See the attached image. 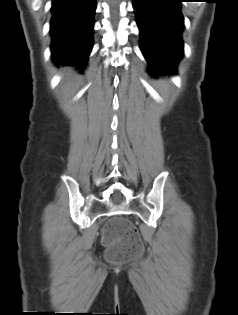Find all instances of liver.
<instances>
[{
	"label": "liver",
	"mask_w": 238,
	"mask_h": 315,
	"mask_svg": "<svg viewBox=\"0 0 238 315\" xmlns=\"http://www.w3.org/2000/svg\"><path fill=\"white\" fill-rule=\"evenodd\" d=\"M63 70L66 72V75H69L72 72V69L70 68H64Z\"/></svg>",
	"instance_id": "obj_1"
}]
</instances>
